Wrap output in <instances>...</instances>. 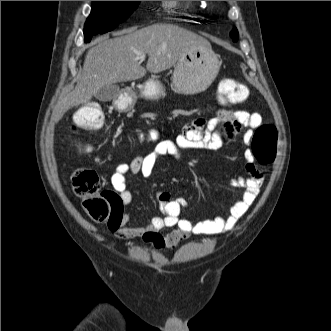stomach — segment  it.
<instances>
[{"label": "stomach", "mask_w": 331, "mask_h": 331, "mask_svg": "<svg viewBox=\"0 0 331 331\" xmlns=\"http://www.w3.org/2000/svg\"><path fill=\"white\" fill-rule=\"evenodd\" d=\"M219 69V59L210 44L194 46L181 56L174 67L172 80L175 91L185 95L203 92L216 78ZM141 96L156 100L165 96V89L159 81L149 79L141 90ZM135 101V95L124 93L115 105L120 111H129Z\"/></svg>", "instance_id": "0dacf381"}]
</instances>
